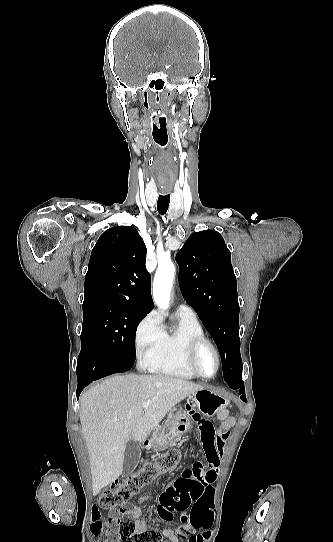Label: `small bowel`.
<instances>
[{"instance_id":"obj_1","label":"small bowel","mask_w":333,"mask_h":542,"mask_svg":"<svg viewBox=\"0 0 333 542\" xmlns=\"http://www.w3.org/2000/svg\"><path fill=\"white\" fill-rule=\"evenodd\" d=\"M191 414L195 419H199V415L195 411L191 412ZM215 414H218V417H215ZM215 414L210 416V423L207 420H201L197 425V430L201 432L200 436L206 460L211 465L215 464L218 459L224 457V452L222 450L226 444L230 428L235 424V419L229 417L225 419L219 427L214 426L219 423L220 418L224 417L223 413L220 415L219 413ZM151 499L152 496L145 495L141 496L139 501L146 502ZM210 506L211 503L205 506L203 501L195 502L189 514L182 513L180 515V524L178 526L173 529L163 528L159 531L162 542H179L181 538H185L188 534L195 532V530H211L213 524L211 522L212 516ZM132 508L130 513L135 519L136 531L142 532L147 530L146 521L141 518L143 515L142 508L137 505H133Z\"/></svg>"}]
</instances>
